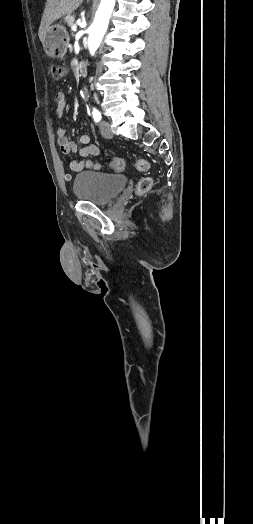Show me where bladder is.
Wrapping results in <instances>:
<instances>
[{"label":"bladder","mask_w":253,"mask_h":524,"mask_svg":"<svg viewBox=\"0 0 253 524\" xmlns=\"http://www.w3.org/2000/svg\"><path fill=\"white\" fill-rule=\"evenodd\" d=\"M127 184L128 178L124 175L82 171L74 177L73 192L78 200L106 205L113 201Z\"/></svg>","instance_id":"obj_1"}]
</instances>
